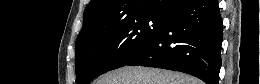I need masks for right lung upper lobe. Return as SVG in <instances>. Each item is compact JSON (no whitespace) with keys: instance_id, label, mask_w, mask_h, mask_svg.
Segmentation results:
<instances>
[{"instance_id":"right-lung-upper-lobe-1","label":"right lung upper lobe","mask_w":260,"mask_h":84,"mask_svg":"<svg viewBox=\"0 0 260 84\" xmlns=\"http://www.w3.org/2000/svg\"><path fill=\"white\" fill-rule=\"evenodd\" d=\"M189 0H91L83 15L76 44L93 37L97 28L140 14H169Z\"/></svg>"}]
</instances>
